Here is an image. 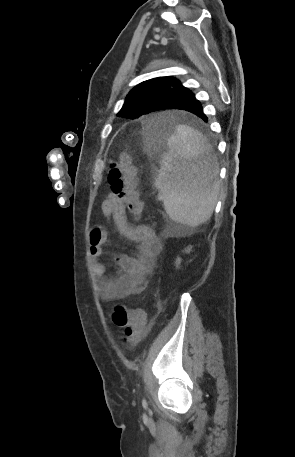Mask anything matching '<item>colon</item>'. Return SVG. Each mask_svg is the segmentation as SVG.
<instances>
[{
	"instance_id": "1",
	"label": "colon",
	"mask_w": 295,
	"mask_h": 457,
	"mask_svg": "<svg viewBox=\"0 0 295 457\" xmlns=\"http://www.w3.org/2000/svg\"><path fill=\"white\" fill-rule=\"evenodd\" d=\"M108 182L111 192L118 198L124 208L135 217L142 213V203L136 190V171L128 154H122L118 161L109 164ZM112 321L123 328L124 339L137 342L145 332L147 318L140 309L128 310L117 305L112 311Z\"/></svg>"
}]
</instances>
